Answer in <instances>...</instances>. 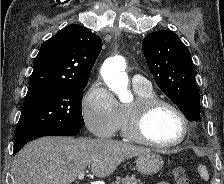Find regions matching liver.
<instances>
[{
	"instance_id": "obj_1",
	"label": "liver",
	"mask_w": 224,
	"mask_h": 184,
	"mask_svg": "<svg viewBox=\"0 0 224 184\" xmlns=\"http://www.w3.org/2000/svg\"><path fill=\"white\" fill-rule=\"evenodd\" d=\"M148 152L111 139L42 137L25 145L14 158V184H71L86 167L104 178L125 160Z\"/></svg>"
}]
</instances>
